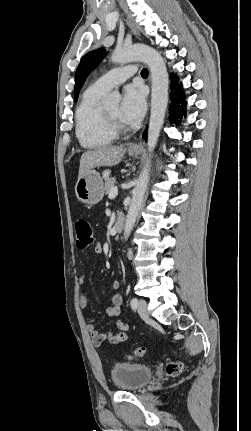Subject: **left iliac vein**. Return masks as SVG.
Instances as JSON below:
<instances>
[{
  "instance_id": "1",
  "label": "left iliac vein",
  "mask_w": 251,
  "mask_h": 431,
  "mask_svg": "<svg viewBox=\"0 0 251 431\" xmlns=\"http://www.w3.org/2000/svg\"><path fill=\"white\" fill-rule=\"evenodd\" d=\"M138 314L141 318H148V310H147V302L145 300L140 299L138 301Z\"/></svg>"
}]
</instances>
